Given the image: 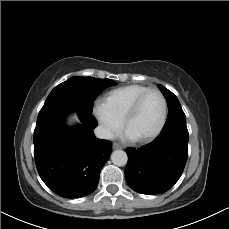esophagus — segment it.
Listing matches in <instances>:
<instances>
[{"mask_svg":"<svg viewBox=\"0 0 229 229\" xmlns=\"http://www.w3.org/2000/svg\"><path fill=\"white\" fill-rule=\"evenodd\" d=\"M113 149H114V150L122 149V146L119 145L118 143H113Z\"/></svg>","mask_w":229,"mask_h":229,"instance_id":"1","label":"esophagus"}]
</instances>
